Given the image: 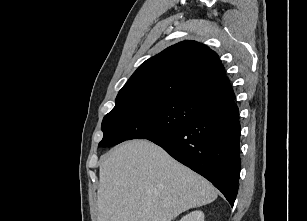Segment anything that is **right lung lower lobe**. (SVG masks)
<instances>
[{"label": "right lung lower lobe", "mask_w": 307, "mask_h": 221, "mask_svg": "<svg viewBox=\"0 0 307 221\" xmlns=\"http://www.w3.org/2000/svg\"><path fill=\"white\" fill-rule=\"evenodd\" d=\"M235 97L206 107L195 119L148 140L208 179L233 206L240 172V123Z\"/></svg>", "instance_id": "obj_1"}]
</instances>
